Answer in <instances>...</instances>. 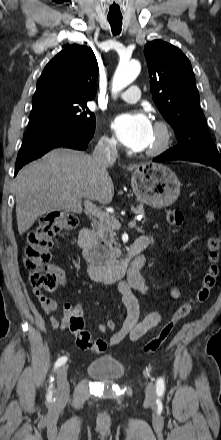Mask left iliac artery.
<instances>
[{
	"mask_svg": "<svg viewBox=\"0 0 221 440\" xmlns=\"http://www.w3.org/2000/svg\"><path fill=\"white\" fill-rule=\"evenodd\" d=\"M156 391L158 394H163V392L165 391V383H164V379L163 378H158L157 383H156Z\"/></svg>",
	"mask_w": 221,
	"mask_h": 440,
	"instance_id": "left-iliac-artery-1",
	"label": "left iliac artery"
}]
</instances>
